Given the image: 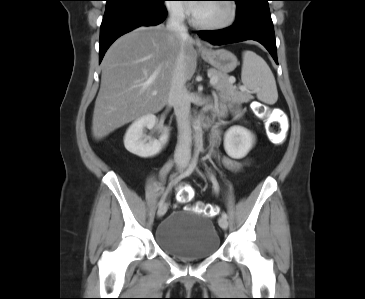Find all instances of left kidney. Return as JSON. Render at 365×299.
<instances>
[{"label":"left kidney","mask_w":365,"mask_h":299,"mask_svg":"<svg viewBox=\"0 0 365 299\" xmlns=\"http://www.w3.org/2000/svg\"><path fill=\"white\" fill-rule=\"evenodd\" d=\"M254 140V135L249 130L233 126L225 133L224 148L231 158L242 159L253 147Z\"/></svg>","instance_id":"obj_1"}]
</instances>
